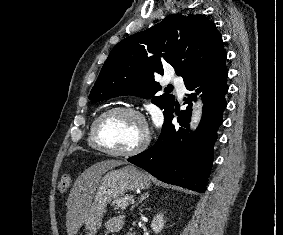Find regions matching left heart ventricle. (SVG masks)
Listing matches in <instances>:
<instances>
[{"mask_svg": "<svg viewBox=\"0 0 283 235\" xmlns=\"http://www.w3.org/2000/svg\"><path fill=\"white\" fill-rule=\"evenodd\" d=\"M144 126L134 115L120 113L105 119L99 128V138L112 150L125 151L134 148L142 140Z\"/></svg>", "mask_w": 283, "mask_h": 235, "instance_id": "obj_1", "label": "left heart ventricle"}]
</instances>
